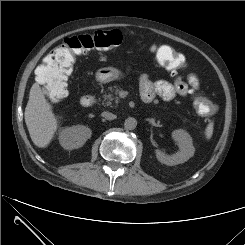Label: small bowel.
Returning <instances> with one entry per match:
<instances>
[{"label":"small bowel","mask_w":245,"mask_h":245,"mask_svg":"<svg viewBox=\"0 0 245 245\" xmlns=\"http://www.w3.org/2000/svg\"><path fill=\"white\" fill-rule=\"evenodd\" d=\"M139 85L143 101L150 103L156 96L165 101H171L177 96L186 97L198 91L200 82L194 72H189L185 79L181 76L176 77L173 83L166 81L152 82L148 75L142 74L139 78Z\"/></svg>","instance_id":"1"}]
</instances>
